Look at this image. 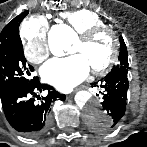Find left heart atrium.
Listing matches in <instances>:
<instances>
[{"label": "left heart atrium", "instance_id": "left-heart-atrium-1", "mask_svg": "<svg viewBox=\"0 0 147 147\" xmlns=\"http://www.w3.org/2000/svg\"><path fill=\"white\" fill-rule=\"evenodd\" d=\"M90 71L86 59L76 54L65 58H54L41 69L42 79L59 90L68 91L82 82Z\"/></svg>", "mask_w": 147, "mask_h": 147}]
</instances>
